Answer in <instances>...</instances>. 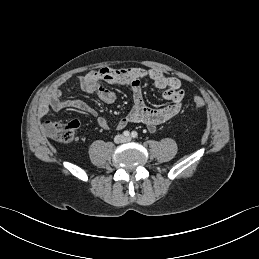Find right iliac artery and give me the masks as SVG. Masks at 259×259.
Masks as SVG:
<instances>
[{"instance_id":"82829eb1","label":"right iliac artery","mask_w":259,"mask_h":259,"mask_svg":"<svg viewBox=\"0 0 259 259\" xmlns=\"http://www.w3.org/2000/svg\"><path fill=\"white\" fill-rule=\"evenodd\" d=\"M123 135H124L125 137H128V136L130 135V132H129V131H124V132H123Z\"/></svg>"}]
</instances>
